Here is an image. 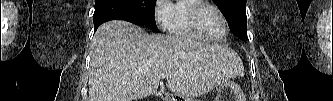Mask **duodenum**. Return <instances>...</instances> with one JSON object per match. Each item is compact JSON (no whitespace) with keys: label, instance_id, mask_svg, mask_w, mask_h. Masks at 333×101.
I'll list each match as a JSON object with an SVG mask.
<instances>
[{"label":"duodenum","instance_id":"obj_1","mask_svg":"<svg viewBox=\"0 0 333 101\" xmlns=\"http://www.w3.org/2000/svg\"><path fill=\"white\" fill-rule=\"evenodd\" d=\"M158 96L164 100H169V97L165 96L164 94H159Z\"/></svg>","mask_w":333,"mask_h":101}]
</instances>
